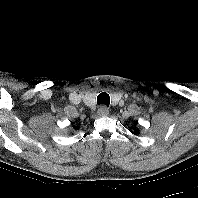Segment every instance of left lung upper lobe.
Listing matches in <instances>:
<instances>
[{"mask_svg":"<svg viewBox=\"0 0 198 198\" xmlns=\"http://www.w3.org/2000/svg\"><path fill=\"white\" fill-rule=\"evenodd\" d=\"M134 134H139V130L138 129H134Z\"/></svg>","mask_w":198,"mask_h":198,"instance_id":"5c2ea615","label":"left lung upper lobe"}]
</instances>
